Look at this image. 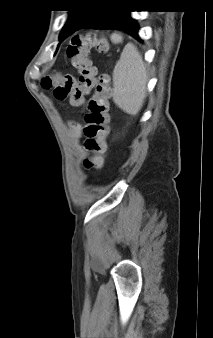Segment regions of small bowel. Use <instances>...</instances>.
Wrapping results in <instances>:
<instances>
[{
	"instance_id": "1",
	"label": "small bowel",
	"mask_w": 213,
	"mask_h": 338,
	"mask_svg": "<svg viewBox=\"0 0 213 338\" xmlns=\"http://www.w3.org/2000/svg\"><path fill=\"white\" fill-rule=\"evenodd\" d=\"M72 134H73V137L76 140H78V141L81 140V138H82V127H81V125H77V126L73 127Z\"/></svg>"
}]
</instances>
